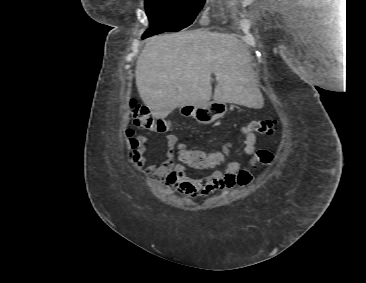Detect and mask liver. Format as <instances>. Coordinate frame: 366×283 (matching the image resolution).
<instances>
[{
    "label": "liver",
    "instance_id": "liver-1",
    "mask_svg": "<svg viewBox=\"0 0 366 283\" xmlns=\"http://www.w3.org/2000/svg\"><path fill=\"white\" fill-rule=\"evenodd\" d=\"M212 73L214 99L263 106L248 47L233 34L194 30L154 36L137 60L135 79L146 107L165 118L179 106L207 103Z\"/></svg>",
    "mask_w": 366,
    "mask_h": 283
}]
</instances>
